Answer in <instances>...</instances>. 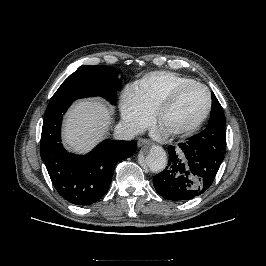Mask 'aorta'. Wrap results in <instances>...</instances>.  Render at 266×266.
Wrapping results in <instances>:
<instances>
[{"label": "aorta", "mask_w": 266, "mask_h": 266, "mask_svg": "<svg viewBox=\"0 0 266 266\" xmlns=\"http://www.w3.org/2000/svg\"><path fill=\"white\" fill-rule=\"evenodd\" d=\"M144 163L153 172L162 171L167 165V154L161 146L153 145L146 155Z\"/></svg>", "instance_id": "aorta-1"}]
</instances>
